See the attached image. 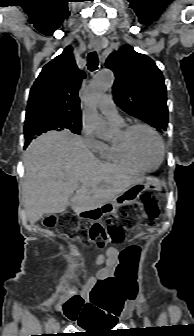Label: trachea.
<instances>
[{
  "mask_svg": "<svg viewBox=\"0 0 194 336\" xmlns=\"http://www.w3.org/2000/svg\"><path fill=\"white\" fill-rule=\"evenodd\" d=\"M87 66L90 71H95L98 68V57L95 51L89 53L87 58Z\"/></svg>",
  "mask_w": 194,
  "mask_h": 336,
  "instance_id": "3493384b",
  "label": "trachea"
}]
</instances>
